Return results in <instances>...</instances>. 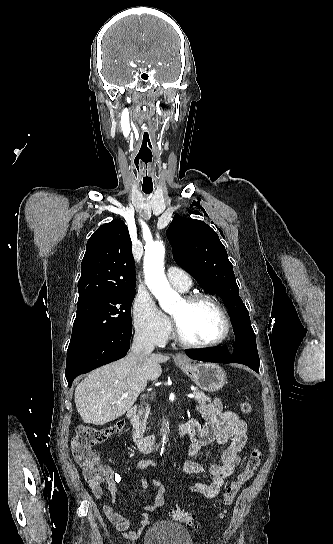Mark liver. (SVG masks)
Returning a JSON list of instances; mask_svg holds the SVG:
<instances>
[{
    "mask_svg": "<svg viewBox=\"0 0 333 544\" xmlns=\"http://www.w3.org/2000/svg\"><path fill=\"white\" fill-rule=\"evenodd\" d=\"M169 359L153 354L140 364L130 351L125 358L90 372L75 389V404L82 420L104 425L121 417L133 406L147 381L160 377V363Z\"/></svg>",
    "mask_w": 333,
    "mask_h": 544,
    "instance_id": "obj_1",
    "label": "liver"
}]
</instances>
